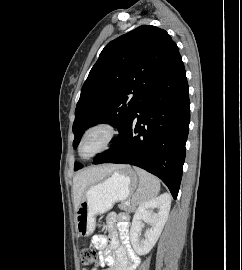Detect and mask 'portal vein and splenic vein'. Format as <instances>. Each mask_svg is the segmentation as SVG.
Wrapping results in <instances>:
<instances>
[{"instance_id":"obj_1","label":"portal vein and splenic vein","mask_w":242,"mask_h":270,"mask_svg":"<svg viewBox=\"0 0 242 270\" xmlns=\"http://www.w3.org/2000/svg\"><path fill=\"white\" fill-rule=\"evenodd\" d=\"M126 204H130V202H129V201H127V202H126Z\"/></svg>"}]
</instances>
